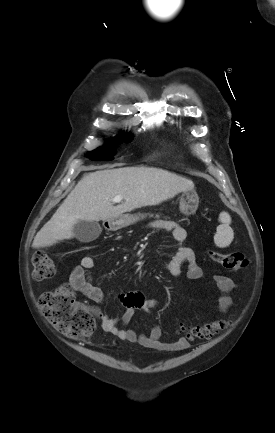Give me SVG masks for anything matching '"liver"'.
<instances>
[{
	"mask_svg": "<svg viewBox=\"0 0 275 433\" xmlns=\"http://www.w3.org/2000/svg\"><path fill=\"white\" fill-rule=\"evenodd\" d=\"M194 183L154 167H121L85 175L52 218L33 240V248L48 247L74 236L78 221H105L144 206L157 205L180 192L193 190ZM120 195L124 202L114 206Z\"/></svg>",
	"mask_w": 275,
	"mask_h": 433,
	"instance_id": "6515ba94",
	"label": "liver"
}]
</instances>
